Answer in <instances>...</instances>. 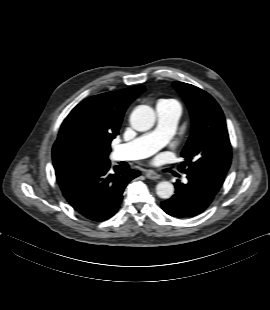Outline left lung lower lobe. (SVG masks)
<instances>
[{
    "mask_svg": "<svg viewBox=\"0 0 270 310\" xmlns=\"http://www.w3.org/2000/svg\"><path fill=\"white\" fill-rule=\"evenodd\" d=\"M188 183L177 181L175 194L161 203L162 209L178 218L196 216L206 210L219 192L224 178L197 171L187 172Z\"/></svg>",
    "mask_w": 270,
    "mask_h": 310,
    "instance_id": "obj_1",
    "label": "left lung lower lobe"
}]
</instances>
